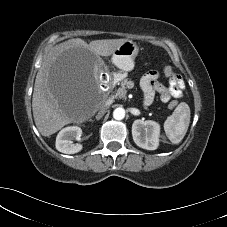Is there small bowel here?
Masks as SVG:
<instances>
[{
    "label": "small bowel",
    "mask_w": 227,
    "mask_h": 227,
    "mask_svg": "<svg viewBox=\"0 0 227 227\" xmlns=\"http://www.w3.org/2000/svg\"><path fill=\"white\" fill-rule=\"evenodd\" d=\"M141 88L144 94V104L150 105L156 92L160 94L162 102H168L171 97L180 98L184 88V82L179 75H172L169 78L168 86L163 85L159 81V73L157 71H150L146 73L141 79Z\"/></svg>",
    "instance_id": "obj_1"
}]
</instances>
